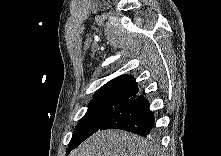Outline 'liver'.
Wrapping results in <instances>:
<instances>
[{
	"mask_svg": "<svg viewBox=\"0 0 221 156\" xmlns=\"http://www.w3.org/2000/svg\"><path fill=\"white\" fill-rule=\"evenodd\" d=\"M158 147L136 134L121 130L99 131L70 156H157Z\"/></svg>",
	"mask_w": 221,
	"mask_h": 156,
	"instance_id": "liver-1",
	"label": "liver"
}]
</instances>
